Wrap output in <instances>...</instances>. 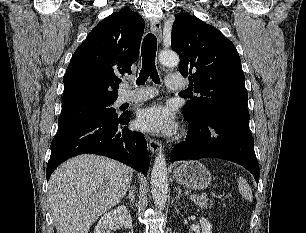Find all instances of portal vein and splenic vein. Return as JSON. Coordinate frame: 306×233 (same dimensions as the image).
Wrapping results in <instances>:
<instances>
[{"label":"portal vein and splenic vein","instance_id":"18ae733b","mask_svg":"<svg viewBox=\"0 0 306 233\" xmlns=\"http://www.w3.org/2000/svg\"><path fill=\"white\" fill-rule=\"evenodd\" d=\"M197 198V195H191L190 200H195Z\"/></svg>","mask_w":306,"mask_h":233}]
</instances>
